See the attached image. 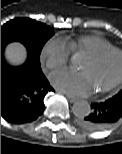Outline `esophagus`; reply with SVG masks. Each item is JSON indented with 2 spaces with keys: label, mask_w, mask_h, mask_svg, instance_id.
I'll return each mask as SVG.
<instances>
[{
  "label": "esophagus",
  "mask_w": 122,
  "mask_h": 154,
  "mask_svg": "<svg viewBox=\"0 0 122 154\" xmlns=\"http://www.w3.org/2000/svg\"><path fill=\"white\" fill-rule=\"evenodd\" d=\"M67 96V98H68V100L71 102V103H74V102H76L78 99L76 98V97H73V96H71V95H66Z\"/></svg>",
  "instance_id": "34e87169"
}]
</instances>
